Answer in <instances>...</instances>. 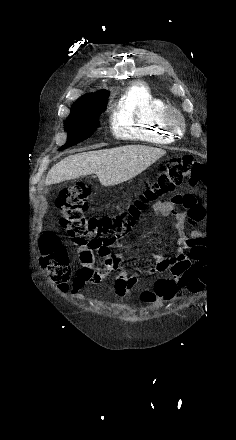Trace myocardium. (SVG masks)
Here are the masks:
<instances>
[{
    "label": "myocardium",
    "mask_w": 236,
    "mask_h": 440,
    "mask_svg": "<svg viewBox=\"0 0 236 440\" xmlns=\"http://www.w3.org/2000/svg\"><path fill=\"white\" fill-rule=\"evenodd\" d=\"M162 121L173 137H179L183 134L185 118L176 107L167 106L162 115Z\"/></svg>",
    "instance_id": "1"
}]
</instances>
